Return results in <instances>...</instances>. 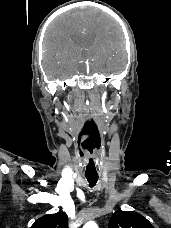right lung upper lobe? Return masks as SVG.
Instances as JSON below:
<instances>
[{"instance_id": "cb5924a9", "label": "right lung upper lobe", "mask_w": 171, "mask_h": 228, "mask_svg": "<svg viewBox=\"0 0 171 228\" xmlns=\"http://www.w3.org/2000/svg\"><path fill=\"white\" fill-rule=\"evenodd\" d=\"M31 228H68V216L60 210L37 219Z\"/></svg>"}]
</instances>
